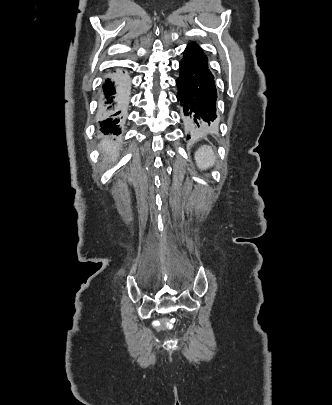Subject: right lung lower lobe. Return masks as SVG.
I'll use <instances>...</instances> for the list:
<instances>
[{
  "instance_id": "98d812e1",
  "label": "right lung lower lobe",
  "mask_w": 332,
  "mask_h": 405,
  "mask_svg": "<svg viewBox=\"0 0 332 405\" xmlns=\"http://www.w3.org/2000/svg\"><path fill=\"white\" fill-rule=\"evenodd\" d=\"M130 83L126 76L117 72L105 80L102 85L103 96L101 99V111L108 118L100 123L105 134H119L118 123L123 119L128 106Z\"/></svg>"
}]
</instances>
